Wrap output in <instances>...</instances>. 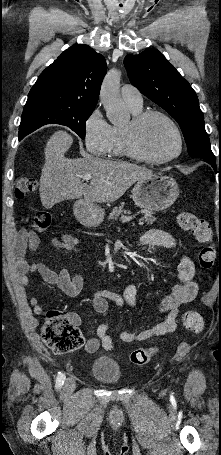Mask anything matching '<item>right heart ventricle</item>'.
<instances>
[{"instance_id":"obj_1","label":"right heart ventricle","mask_w":221,"mask_h":455,"mask_svg":"<svg viewBox=\"0 0 221 455\" xmlns=\"http://www.w3.org/2000/svg\"><path fill=\"white\" fill-rule=\"evenodd\" d=\"M128 106L133 115H137L142 112V107L135 108L130 105ZM108 154L113 157L128 156L123 146V127L112 126L111 143Z\"/></svg>"}]
</instances>
